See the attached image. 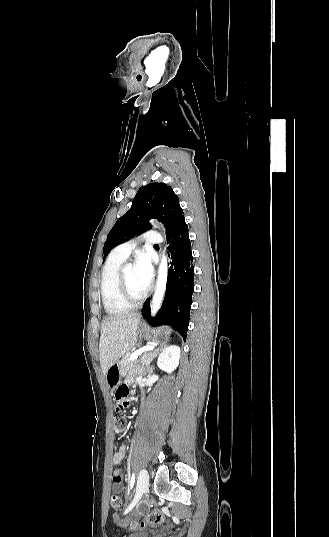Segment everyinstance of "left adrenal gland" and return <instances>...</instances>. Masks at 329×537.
<instances>
[{
  "label": "left adrenal gland",
  "instance_id": "obj_1",
  "mask_svg": "<svg viewBox=\"0 0 329 537\" xmlns=\"http://www.w3.org/2000/svg\"><path fill=\"white\" fill-rule=\"evenodd\" d=\"M166 345L167 343H161L160 346L156 347L155 350H153L147 355H144L143 362L145 363L149 374H151L154 370V367H151L150 363L154 360V358L158 355V353L162 351L164 347H166Z\"/></svg>",
  "mask_w": 329,
  "mask_h": 537
}]
</instances>
